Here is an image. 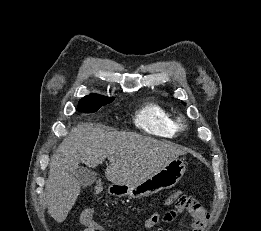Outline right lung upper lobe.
<instances>
[{
	"label": "right lung upper lobe",
	"instance_id": "1",
	"mask_svg": "<svg viewBox=\"0 0 261 231\" xmlns=\"http://www.w3.org/2000/svg\"><path fill=\"white\" fill-rule=\"evenodd\" d=\"M89 96H100V95H98V94H91V95H89Z\"/></svg>",
	"mask_w": 261,
	"mask_h": 231
}]
</instances>
